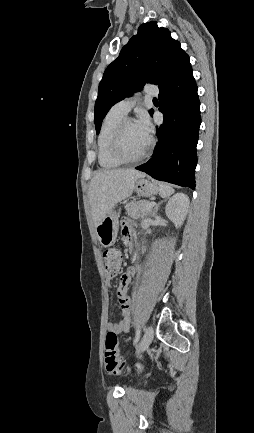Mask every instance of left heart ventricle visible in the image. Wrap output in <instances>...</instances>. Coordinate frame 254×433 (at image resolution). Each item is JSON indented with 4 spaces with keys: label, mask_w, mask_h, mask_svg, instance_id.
I'll return each instance as SVG.
<instances>
[{
    "label": "left heart ventricle",
    "mask_w": 254,
    "mask_h": 433,
    "mask_svg": "<svg viewBox=\"0 0 254 433\" xmlns=\"http://www.w3.org/2000/svg\"><path fill=\"white\" fill-rule=\"evenodd\" d=\"M149 138L144 136L136 125L135 121L129 122L122 136V147L124 152L135 157L139 155L147 146Z\"/></svg>",
    "instance_id": "b2bd125f"
}]
</instances>
